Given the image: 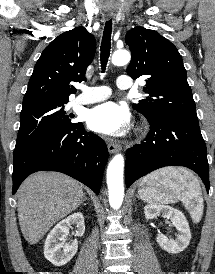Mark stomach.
<instances>
[{
	"mask_svg": "<svg viewBox=\"0 0 215 274\" xmlns=\"http://www.w3.org/2000/svg\"><path fill=\"white\" fill-rule=\"evenodd\" d=\"M138 194H139V196H140V198H141L142 200L147 201V200H146L147 197H146V195L142 192V188H139Z\"/></svg>",
	"mask_w": 215,
	"mask_h": 274,
	"instance_id": "stomach-1",
	"label": "stomach"
}]
</instances>
